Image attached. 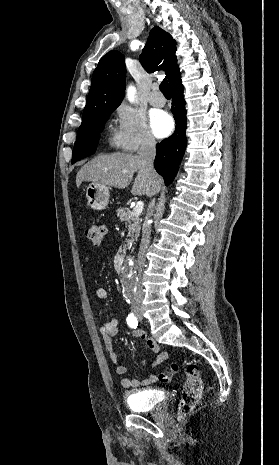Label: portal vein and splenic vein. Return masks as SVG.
I'll return each mask as SVG.
<instances>
[{"instance_id":"1","label":"portal vein and splenic vein","mask_w":279,"mask_h":465,"mask_svg":"<svg viewBox=\"0 0 279 465\" xmlns=\"http://www.w3.org/2000/svg\"><path fill=\"white\" fill-rule=\"evenodd\" d=\"M144 208V203L142 201H138L135 207L133 208L132 215L139 216Z\"/></svg>"}]
</instances>
